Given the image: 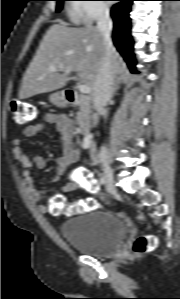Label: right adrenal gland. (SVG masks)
<instances>
[{
  "instance_id": "2a0ac1e0",
  "label": "right adrenal gland",
  "mask_w": 180,
  "mask_h": 299,
  "mask_svg": "<svg viewBox=\"0 0 180 299\" xmlns=\"http://www.w3.org/2000/svg\"><path fill=\"white\" fill-rule=\"evenodd\" d=\"M122 77H119L113 84V93L112 95H115L116 92L119 90L120 88V83H121Z\"/></svg>"
}]
</instances>
